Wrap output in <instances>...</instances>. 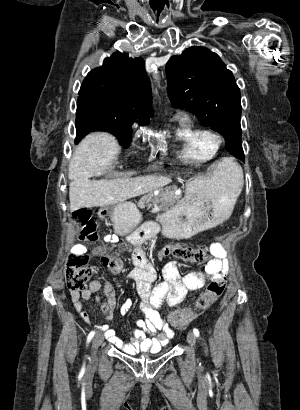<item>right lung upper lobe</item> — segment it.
Wrapping results in <instances>:
<instances>
[{"instance_id":"obj_1","label":"right lung upper lobe","mask_w":300,"mask_h":410,"mask_svg":"<svg viewBox=\"0 0 300 410\" xmlns=\"http://www.w3.org/2000/svg\"><path fill=\"white\" fill-rule=\"evenodd\" d=\"M80 90L99 94L108 114L122 120L146 123L154 114L142 58L113 54L103 66L88 73Z\"/></svg>"}]
</instances>
